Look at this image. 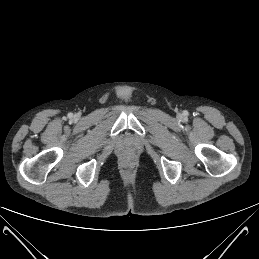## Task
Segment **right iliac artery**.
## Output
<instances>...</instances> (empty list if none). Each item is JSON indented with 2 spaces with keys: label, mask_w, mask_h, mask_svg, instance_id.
I'll use <instances>...</instances> for the list:
<instances>
[{
  "label": "right iliac artery",
  "mask_w": 259,
  "mask_h": 259,
  "mask_svg": "<svg viewBox=\"0 0 259 259\" xmlns=\"http://www.w3.org/2000/svg\"><path fill=\"white\" fill-rule=\"evenodd\" d=\"M72 116H73V114H72V113L68 114V117H69V118H71Z\"/></svg>",
  "instance_id": "1"
}]
</instances>
